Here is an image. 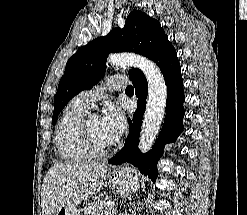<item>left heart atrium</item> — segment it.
Instances as JSON below:
<instances>
[{
	"mask_svg": "<svg viewBox=\"0 0 247 215\" xmlns=\"http://www.w3.org/2000/svg\"><path fill=\"white\" fill-rule=\"evenodd\" d=\"M100 124L104 135L111 144L121 137L127 127L123 112L115 106H109L106 109Z\"/></svg>",
	"mask_w": 247,
	"mask_h": 215,
	"instance_id": "1",
	"label": "left heart atrium"
}]
</instances>
